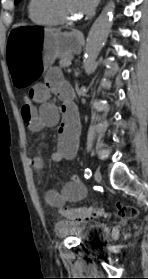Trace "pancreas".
Returning <instances> with one entry per match:
<instances>
[{
	"label": "pancreas",
	"instance_id": "cf45deb5",
	"mask_svg": "<svg viewBox=\"0 0 148 279\" xmlns=\"http://www.w3.org/2000/svg\"><path fill=\"white\" fill-rule=\"evenodd\" d=\"M71 57L70 56H65L63 57L60 61H59V65L61 68H65L68 67L70 61H71Z\"/></svg>",
	"mask_w": 148,
	"mask_h": 279
}]
</instances>
